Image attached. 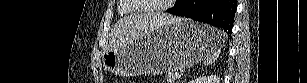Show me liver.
I'll use <instances>...</instances> for the list:
<instances>
[{
    "instance_id": "6515ba94",
    "label": "liver",
    "mask_w": 307,
    "mask_h": 83,
    "mask_svg": "<svg viewBox=\"0 0 307 83\" xmlns=\"http://www.w3.org/2000/svg\"><path fill=\"white\" fill-rule=\"evenodd\" d=\"M175 20L176 17L161 13L136 14L123 18L117 22L111 32V48L123 46L149 31Z\"/></svg>"
}]
</instances>
